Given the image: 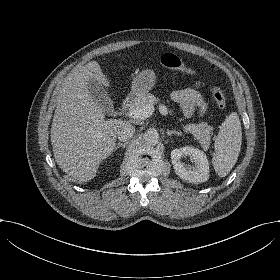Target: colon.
Instances as JSON below:
<instances>
[{
  "label": "colon",
  "mask_w": 280,
  "mask_h": 280,
  "mask_svg": "<svg viewBox=\"0 0 280 280\" xmlns=\"http://www.w3.org/2000/svg\"><path fill=\"white\" fill-rule=\"evenodd\" d=\"M161 63L165 67L172 66L173 71L180 75H185L189 71V65L187 62L181 61V60L174 61L173 56L170 54L163 55L161 58ZM211 94H212L214 101L217 103V105L219 107L223 108L226 104L225 93L219 88H214L212 90Z\"/></svg>",
  "instance_id": "5ec220e1"
}]
</instances>
